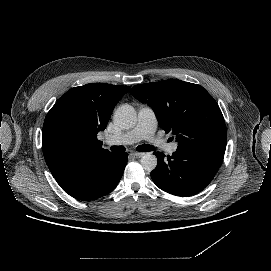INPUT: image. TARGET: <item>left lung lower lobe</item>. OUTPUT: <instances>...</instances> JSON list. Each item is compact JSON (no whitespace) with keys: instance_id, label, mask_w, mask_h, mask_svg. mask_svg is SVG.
<instances>
[{"instance_id":"1","label":"left lung lower lobe","mask_w":271,"mask_h":271,"mask_svg":"<svg viewBox=\"0 0 271 271\" xmlns=\"http://www.w3.org/2000/svg\"><path fill=\"white\" fill-rule=\"evenodd\" d=\"M225 148L212 145L177 147L167 156L155 152L158 159L151 172L154 183L176 196H191L202 191L213 179L223 160Z\"/></svg>"}]
</instances>
